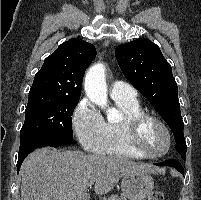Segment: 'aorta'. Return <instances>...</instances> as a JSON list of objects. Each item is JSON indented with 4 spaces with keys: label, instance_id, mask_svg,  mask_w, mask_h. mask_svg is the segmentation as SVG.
<instances>
[{
    "label": "aorta",
    "instance_id": "1",
    "mask_svg": "<svg viewBox=\"0 0 201 200\" xmlns=\"http://www.w3.org/2000/svg\"><path fill=\"white\" fill-rule=\"evenodd\" d=\"M85 92L87 97L99 107H107V86L105 80V67L102 63H97L89 68L85 76ZM112 111H108L111 116Z\"/></svg>",
    "mask_w": 201,
    "mask_h": 200
}]
</instances>
